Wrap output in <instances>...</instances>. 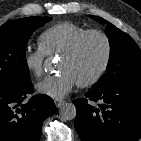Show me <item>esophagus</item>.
<instances>
[{"label":"esophagus","instance_id":"obj_1","mask_svg":"<svg viewBox=\"0 0 141 141\" xmlns=\"http://www.w3.org/2000/svg\"><path fill=\"white\" fill-rule=\"evenodd\" d=\"M54 102L57 108H60L65 103V101L59 99H55Z\"/></svg>","mask_w":141,"mask_h":141}]
</instances>
